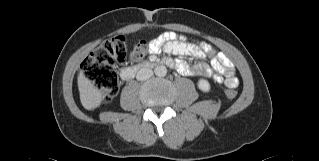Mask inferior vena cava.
<instances>
[{
  "instance_id": "1",
  "label": "inferior vena cava",
  "mask_w": 319,
  "mask_h": 161,
  "mask_svg": "<svg viewBox=\"0 0 319 161\" xmlns=\"http://www.w3.org/2000/svg\"><path fill=\"white\" fill-rule=\"evenodd\" d=\"M153 75V71L149 68H142L137 72L136 79L144 81L149 79Z\"/></svg>"
}]
</instances>
